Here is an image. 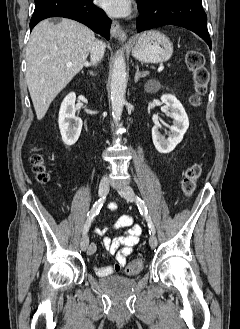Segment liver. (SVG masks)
<instances>
[{
  "mask_svg": "<svg viewBox=\"0 0 240 329\" xmlns=\"http://www.w3.org/2000/svg\"><path fill=\"white\" fill-rule=\"evenodd\" d=\"M94 41L95 35L89 28L70 19H62L58 24L45 20L32 30L26 48V82L38 120L43 119L55 97L88 64Z\"/></svg>",
  "mask_w": 240,
  "mask_h": 329,
  "instance_id": "obj_1",
  "label": "liver"
}]
</instances>
